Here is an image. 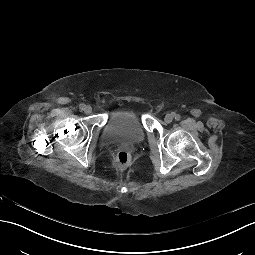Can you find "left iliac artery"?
Returning a JSON list of instances; mask_svg holds the SVG:
<instances>
[{"label": "left iliac artery", "mask_w": 255, "mask_h": 255, "mask_svg": "<svg viewBox=\"0 0 255 255\" xmlns=\"http://www.w3.org/2000/svg\"><path fill=\"white\" fill-rule=\"evenodd\" d=\"M175 119H176V120H180V115H179V114H176V115H175Z\"/></svg>", "instance_id": "obj_1"}]
</instances>
